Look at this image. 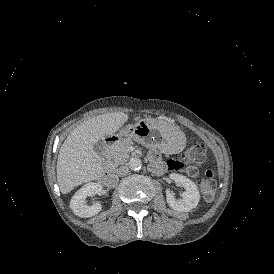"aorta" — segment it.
<instances>
[{"instance_id":"aorta-1","label":"aorta","mask_w":274,"mask_h":274,"mask_svg":"<svg viewBox=\"0 0 274 274\" xmlns=\"http://www.w3.org/2000/svg\"><path fill=\"white\" fill-rule=\"evenodd\" d=\"M142 166V161L138 158H132L129 162V168L133 171L140 170Z\"/></svg>"}]
</instances>
